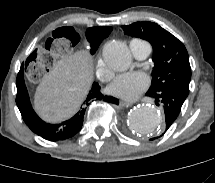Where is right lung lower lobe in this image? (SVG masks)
Segmentation results:
<instances>
[{
	"label": "right lung lower lobe",
	"mask_w": 215,
	"mask_h": 183,
	"mask_svg": "<svg viewBox=\"0 0 215 183\" xmlns=\"http://www.w3.org/2000/svg\"><path fill=\"white\" fill-rule=\"evenodd\" d=\"M16 86V103L23 120L34 133L49 141L68 139L78 133L82 128L86 107L91 102L102 100L109 103L119 104L118 99L112 96L103 95L100 91L99 84L94 82L86 100L75 116L60 124H49L41 120L32 109L23 78V67H21L17 75Z\"/></svg>",
	"instance_id": "obj_1"
}]
</instances>
